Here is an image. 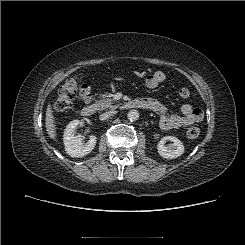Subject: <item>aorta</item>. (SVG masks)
I'll return each mask as SVG.
<instances>
[{
    "label": "aorta",
    "mask_w": 245,
    "mask_h": 245,
    "mask_svg": "<svg viewBox=\"0 0 245 245\" xmlns=\"http://www.w3.org/2000/svg\"><path fill=\"white\" fill-rule=\"evenodd\" d=\"M127 118L130 121H136L139 118V112L137 110H131L128 112Z\"/></svg>",
    "instance_id": "obj_1"
}]
</instances>
